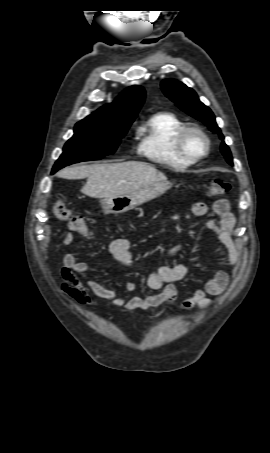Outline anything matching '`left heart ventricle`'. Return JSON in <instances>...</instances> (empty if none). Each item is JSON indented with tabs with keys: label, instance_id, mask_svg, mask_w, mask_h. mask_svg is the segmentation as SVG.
I'll return each instance as SVG.
<instances>
[{
	"label": "left heart ventricle",
	"instance_id": "left-heart-ventricle-1",
	"mask_svg": "<svg viewBox=\"0 0 270 453\" xmlns=\"http://www.w3.org/2000/svg\"><path fill=\"white\" fill-rule=\"evenodd\" d=\"M186 147L189 152L193 154H199L205 148V141L198 134H189L186 138Z\"/></svg>",
	"mask_w": 270,
	"mask_h": 453
}]
</instances>
